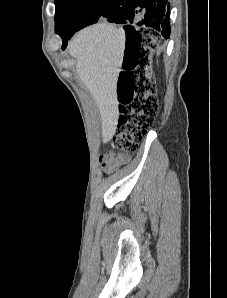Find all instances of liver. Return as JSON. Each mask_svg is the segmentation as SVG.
Wrapping results in <instances>:
<instances>
[{
  "label": "liver",
  "instance_id": "1",
  "mask_svg": "<svg viewBox=\"0 0 227 298\" xmlns=\"http://www.w3.org/2000/svg\"><path fill=\"white\" fill-rule=\"evenodd\" d=\"M125 40L122 28L102 22L79 31L69 45V52L76 59V73L98 106L104 143L116 131V89Z\"/></svg>",
  "mask_w": 227,
  "mask_h": 298
}]
</instances>
